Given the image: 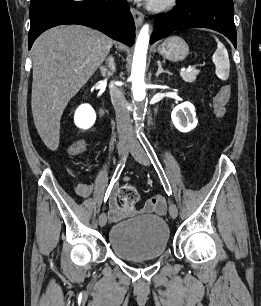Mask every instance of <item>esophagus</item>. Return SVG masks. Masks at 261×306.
<instances>
[{"label":"esophagus","instance_id":"obj_1","mask_svg":"<svg viewBox=\"0 0 261 306\" xmlns=\"http://www.w3.org/2000/svg\"><path fill=\"white\" fill-rule=\"evenodd\" d=\"M131 13L133 15L135 25L138 28L144 20V15H143L142 12H140L139 10H137L133 7L131 8Z\"/></svg>","mask_w":261,"mask_h":306}]
</instances>
